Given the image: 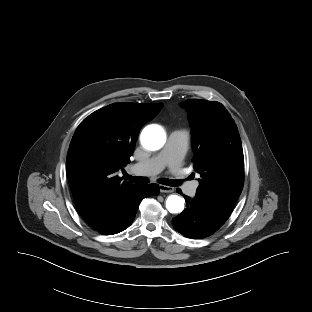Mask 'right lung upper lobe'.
<instances>
[{
	"label": "right lung upper lobe",
	"mask_w": 312,
	"mask_h": 312,
	"mask_svg": "<svg viewBox=\"0 0 312 312\" xmlns=\"http://www.w3.org/2000/svg\"><path fill=\"white\" fill-rule=\"evenodd\" d=\"M162 106L115 103L93 112L77 127L67 154V174L76 207L91 227L111 218L137 186L117 171L130 162L141 127Z\"/></svg>",
	"instance_id": "cb5924a9"
}]
</instances>
